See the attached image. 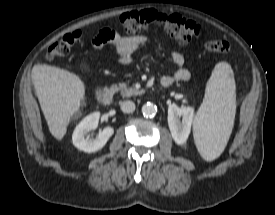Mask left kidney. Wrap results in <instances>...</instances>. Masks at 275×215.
I'll return each mask as SVG.
<instances>
[{"label":"left kidney","mask_w":275,"mask_h":215,"mask_svg":"<svg viewBox=\"0 0 275 215\" xmlns=\"http://www.w3.org/2000/svg\"><path fill=\"white\" fill-rule=\"evenodd\" d=\"M182 117V121L180 118ZM194 117L192 107L179 108L176 104L168 107V125L174 141L178 144H184L191 131V125Z\"/></svg>","instance_id":"left-kidney-1"}]
</instances>
